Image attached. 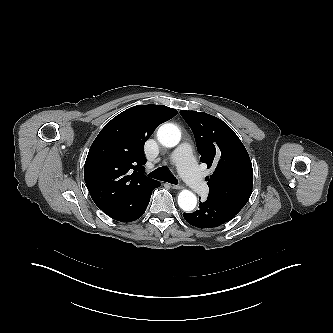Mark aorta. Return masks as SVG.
<instances>
[{"label": "aorta", "mask_w": 333, "mask_h": 333, "mask_svg": "<svg viewBox=\"0 0 333 333\" xmlns=\"http://www.w3.org/2000/svg\"><path fill=\"white\" fill-rule=\"evenodd\" d=\"M159 142L168 148L175 147L181 139L179 128L172 124H163L157 132ZM197 198L189 190H182L178 195V205L184 211H191L196 207Z\"/></svg>", "instance_id": "obj_1"}]
</instances>
